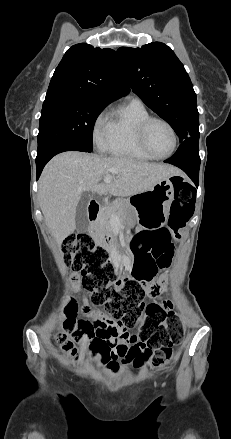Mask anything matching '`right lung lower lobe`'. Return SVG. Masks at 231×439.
I'll list each match as a JSON object with an SVG mask.
<instances>
[{"label": "right lung lower lobe", "instance_id": "obj_1", "mask_svg": "<svg viewBox=\"0 0 231 439\" xmlns=\"http://www.w3.org/2000/svg\"><path fill=\"white\" fill-rule=\"evenodd\" d=\"M64 151H83L85 152L82 148L78 147L77 145L74 144H69V143H60L57 144L56 146L52 147L48 153H46L43 156H37L36 158V168H37V179L39 178L44 166L46 165V163L56 154L64 152Z\"/></svg>", "mask_w": 231, "mask_h": 439}]
</instances>
